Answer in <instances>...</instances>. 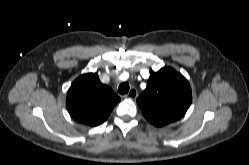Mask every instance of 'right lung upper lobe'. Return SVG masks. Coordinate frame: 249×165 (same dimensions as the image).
Wrapping results in <instances>:
<instances>
[{
  "instance_id": "obj_1",
  "label": "right lung upper lobe",
  "mask_w": 249,
  "mask_h": 165,
  "mask_svg": "<svg viewBox=\"0 0 249 165\" xmlns=\"http://www.w3.org/2000/svg\"><path fill=\"white\" fill-rule=\"evenodd\" d=\"M119 101L120 97L109 86L102 84L97 74L87 73L71 84L66 106L75 121L97 126L108 118Z\"/></svg>"
}]
</instances>
